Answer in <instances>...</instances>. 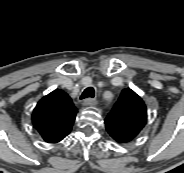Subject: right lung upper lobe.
<instances>
[{
	"label": "right lung upper lobe",
	"instance_id": "1",
	"mask_svg": "<svg viewBox=\"0 0 184 173\" xmlns=\"http://www.w3.org/2000/svg\"><path fill=\"white\" fill-rule=\"evenodd\" d=\"M76 114L71 98L62 90H54L38 102L32 122L45 142L58 143L70 133Z\"/></svg>",
	"mask_w": 184,
	"mask_h": 173
}]
</instances>
